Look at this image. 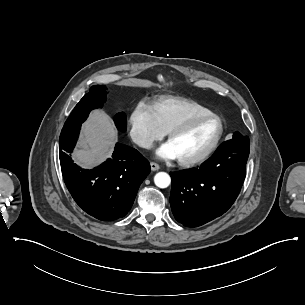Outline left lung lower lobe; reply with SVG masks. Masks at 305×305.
<instances>
[{"mask_svg": "<svg viewBox=\"0 0 305 305\" xmlns=\"http://www.w3.org/2000/svg\"><path fill=\"white\" fill-rule=\"evenodd\" d=\"M249 151L247 136L230 139L198 168L171 173L170 205L175 219L198 227L224 214L241 190Z\"/></svg>", "mask_w": 305, "mask_h": 305, "instance_id": "0a47b994", "label": "left lung lower lobe"}]
</instances>
